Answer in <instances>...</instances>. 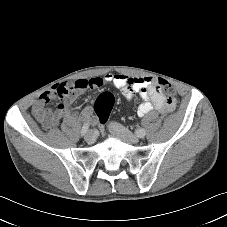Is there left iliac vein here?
Returning <instances> with one entry per match:
<instances>
[{
  "label": "left iliac vein",
  "mask_w": 227,
  "mask_h": 227,
  "mask_svg": "<svg viewBox=\"0 0 227 227\" xmlns=\"http://www.w3.org/2000/svg\"><path fill=\"white\" fill-rule=\"evenodd\" d=\"M108 127L113 136L120 138L126 143L135 144L139 141V138L136 135L132 134L129 130L118 123L111 122Z\"/></svg>",
  "instance_id": "obj_1"
}]
</instances>
